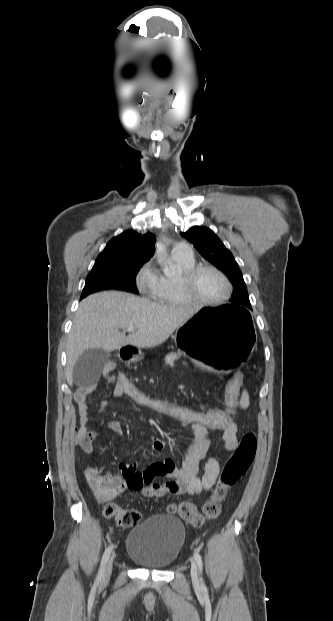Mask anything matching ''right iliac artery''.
<instances>
[{"mask_svg":"<svg viewBox=\"0 0 333 621\" xmlns=\"http://www.w3.org/2000/svg\"><path fill=\"white\" fill-rule=\"evenodd\" d=\"M112 549H113V547H112V546L108 547V548L105 550V552H104V554H103V556H102V560H101L100 568H99L98 575H97V581H101V580H102V578H103V576H104V572H105L106 564H107V562H108V560H109V557H110V554H111V552H112Z\"/></svg>","mask_w":333,"mask_h":621,"instance_id":"1","label":"right iliac artery"}]
</instances>
